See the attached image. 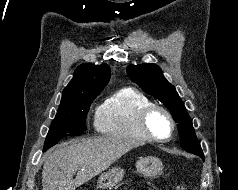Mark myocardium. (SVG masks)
Listing matches in <instances>:
<instances>
[{"instance_id": "myocardium-1", "label": "myocardium", "mask_w": 238, "mask_h": 190, "mask_svg": "<svg viewBox=\"0 0 238 190\" xmlns=\"http://www.w3.org/2000/svg\"><path fill=\"white\" fill-rule=\"evenodd\" d=\"M155 112L162 113L169 121V132L166 136H159L155 134L150 128V118ZM138 122L143 133L151 140L157 142H165L171 138L175 129V121L172 114L163 106L158 104H150L144 107L138 117Z\"/></svg>"}]
</instances>
